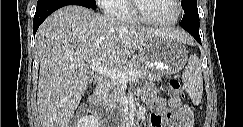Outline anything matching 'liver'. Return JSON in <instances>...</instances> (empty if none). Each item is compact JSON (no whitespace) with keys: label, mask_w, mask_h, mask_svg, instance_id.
Masks as SVG:
<instances>
[{"label":"liver","mask_w":243,"mask_h":127,"mask_svg":"<svg viewBox=\"0 0 243 127\" xmlns=\"http://www.w3.org/2000/svg\"><path fill=\"white\" fill-rule=\"evenodd\" d=\"M155 34L190 41L182 30L132 27L83 6L69 5L51 14L36 33L40 59L37 106L42 127H68L89 87L83 65L97 59L108 68L119 69Z\"/></svg>","instance_id":"liver-1"}]
</instances>
